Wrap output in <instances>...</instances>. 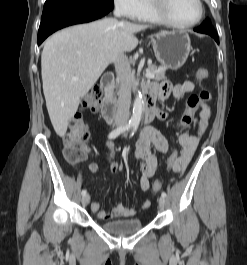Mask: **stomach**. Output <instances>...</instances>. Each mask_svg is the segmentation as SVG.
Returning a JSON list of instances; mask_svg holds the SVG:
<instances>
[{
    "instance_id": "obj_1",
    "label": "stomach",
    "mask_w": 247,
    "mask_h": 265,
    "mask_svg": "<svg viewBox=\"0 0 247 265\" xmlns=\"http://www.w3.org/2000/svg\"><path fill=\"white\" fill-rule=\"evenodd\" d=\"M156 59L165 68H181L192 50L189 35L181 30L164 31L150 37Z\"/></svg>"
}]
</instances>
